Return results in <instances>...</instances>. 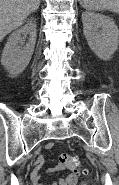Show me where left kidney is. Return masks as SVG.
Wrapping results in <instances>:
<instances>
[{
	"label": "left kidney",
	"mask_w": 119,
	"mask_h": 185,
	"mask_svg": "<svg viewBox=\"0 0 119 185\" xmlns=\"http://www.w3.org/2000/svg\"><path fill=\"white\" fill-rule=\"evenodd\" d=\"M83 33L90 49L102 60H110L118 47L119 29L113 19L95 13H82Z\"/></svg>",
	"instance_id": "obj_1"
}]
</instances>
